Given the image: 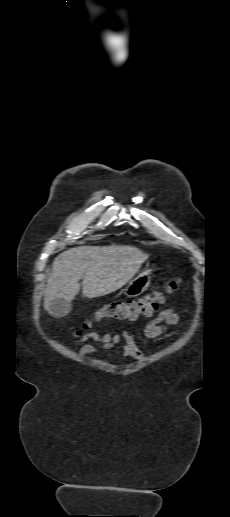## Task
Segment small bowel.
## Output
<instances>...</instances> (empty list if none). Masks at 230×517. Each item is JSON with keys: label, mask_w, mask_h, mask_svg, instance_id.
Listing matches in <instances>:
<instances>
[{"label": "small bowel", "mask_w": 230, "mask_h": 517, "mask_svg": "<svg viewBox=\"0 0 230 517\" xmlns=\"http://www.w3.org/2000/svg\"><path fill=\"white\" fill-rule=\"evenodd\" d=\"M180 321L179 314L173 309H166L160 312L154 319L148 322L144 328V334L148 338H157L165 334L170 327L178 324ZM88 340L95 341L100 344L95 347L90 344H84L80 349L81 355L92 354L101 350H109L117 346L120 342L123 343L124 357H131L134 359H142L143 353L139 350L133 334L128 331L120 333H106L99 335L95 332H88L80 338V342L84 343Z\"/></svg>", "instance_id": "obj_1"}]
</instances>
